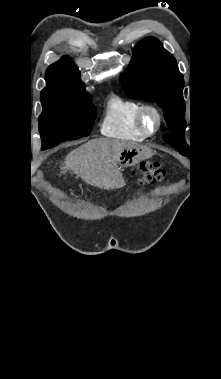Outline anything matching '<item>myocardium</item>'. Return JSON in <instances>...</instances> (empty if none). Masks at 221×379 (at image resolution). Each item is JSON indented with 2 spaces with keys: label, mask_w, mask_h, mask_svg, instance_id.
Instances as JSON below:
<instances>
[{
  "label": "myocardium",
  "mask_w": 221,
  "mask_h": 379,
  "mask_svg": "<svg viewBox=\"0 0 221 379\" xmlns=\"http://www.w3.org/2000/svg\"><path fill=\"white\" fill-rule=\"evenodd\" d=\"M151 115L154 119V127L150 129L147 125V118ZM138 128L145 137L156 135L162 126V114L160 110L151 104L142 105L137 114Z\"/></svg>",
  "instance_id": "myocardium-1"
}]
</instances>
